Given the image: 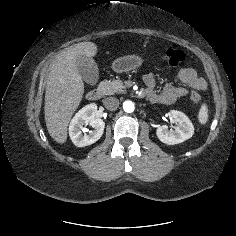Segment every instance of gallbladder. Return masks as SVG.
Here are the masks:
<instances>
[{
	"label": "gallbladder",
	"instance_id": "1",
	"mask_svg": "<svg viewBox=\"0 0 236 236\" xmlns=\"http://www.w3.org/2000/svg\"><path fill=\"white\" fill-rule=\"evenodd\" d=\"M76 67L82 79L89 85H95L99 79V70L96 62L87 56L76 59Z\"/></svg>",
	"mask_w": 236,
	"mask_h": 236
}]
</instances>
